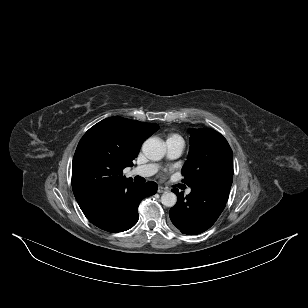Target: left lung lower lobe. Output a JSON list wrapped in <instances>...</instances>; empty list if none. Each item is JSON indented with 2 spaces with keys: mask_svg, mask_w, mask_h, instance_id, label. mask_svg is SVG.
I'll return each instance as SVG.
<instances>
[{
  "mask_svg": "<svg viewBox=\"0 0 308 308\" xmlns=\"http://www.w3.org/2000/svg\"><path fill=\"white\" fill-rule=\"evenodd\" d=\"M233 176L223 175L192 186L184 197L177 189L178 201L169 211L172 223L184 234H200L209 229L224 210Z\"/></svg>",
  "mask_w": 308,
  "mask_h": 308,
  "instance_id": "obj_1",
  "label": "left lung lower lobe"
}]
</instances>
